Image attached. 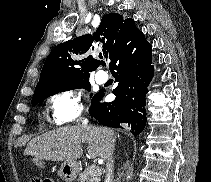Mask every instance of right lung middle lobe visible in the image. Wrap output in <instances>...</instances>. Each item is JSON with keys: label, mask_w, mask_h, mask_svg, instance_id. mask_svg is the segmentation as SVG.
Segmentation results:
<instances>
[{"label": "right lung middle lobe", "mask_w": 211, "mask_h": 182, "mask_svg": "<svg viewBox=\"0 0 211 182\" xmlns=\"http://www.w3.org/2000/svg\"><path fill=\"white\" fill-rule=\"evenodd\" d=\"M88 78L89 77H84V78L72 81L70 83L52 85L47 88H44L33 95L32 106H36L39 102L45 100L47 97L55 95L59 92L73 90L77 88H84L90 91V83H89Z\"/></svg>", "instance_id": "dd1d6c3e"}]
</instances>
